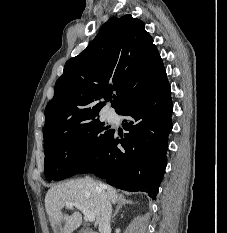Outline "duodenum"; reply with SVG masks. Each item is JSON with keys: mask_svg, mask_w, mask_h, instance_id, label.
I'll use <instances>...</instances> for the list:
<instances>
[{"mask_svg": "<svg viewBox=\"0 0 227 233\" xmlns=\"http://www.w3.org/2000/svg\"><path fill=\"white\" fill-rule=\"evenodd\" d=\"M83 233H95V232H92V231H85Z\"/></svg>", "mask_w": 227, "mask_h": 233, "instance_id": "410a0bca", "label": "duodenum"}]
</instances>
